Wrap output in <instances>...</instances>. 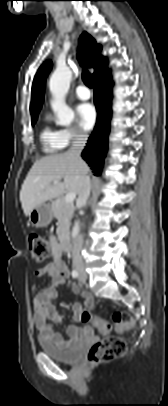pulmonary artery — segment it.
Here are the masks:
<instances>
[{
    "label": "pulmonary artery",
    "instance_id": "obj_1",
    "mask_svg": "<svg viewBox=\"0 0 168 406\" xmlns=\"http://www.w3.org/2000/svg\"><path fill=\"white\" fill-rule=\"evenodd\" d=\"M75 95L80 100H88L91 97L89 89L85 86H78L75 89Z\"/></svg>",
    "mask_w": 168,
    "mask_h": 406
}]
</instances>
